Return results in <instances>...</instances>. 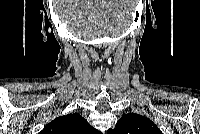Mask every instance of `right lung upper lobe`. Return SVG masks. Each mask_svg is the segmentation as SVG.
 I'll use <instances>...</instances> for the list:
<instances>
[{
	"label": "right lung upper lobe",
	"instance_id": "obj_1",
	"mask_svg": "<svg viewBox=\"0 0 200 134\" xmlns=\"http://www.w3.org/2000/svg\"><path fill=\"white\" fill-rule=\"evenodd\" d=\"M42 134H96L98 131L77 113L61 116L49 123Z\"/></svg>",
	"mask_w": 200,
	"mask_h": 134
}]
</instances>
